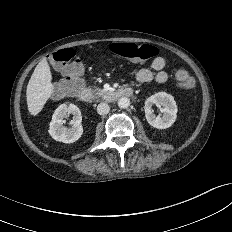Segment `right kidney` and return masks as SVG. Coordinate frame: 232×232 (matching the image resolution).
<instances>
[{
    "instance_id": "ca27d5eb",
    "label": "right kidney",
    "mask_w": 232,
    "mask_h": 232,
    "mask_svg": "<svg viewBox=\"0 0 232 232\" xmlns=\"http://www.w3.org/2000/svg\"><path fill=\"white\" fill-rule=\"evenodd\" d=\"M73 114L74 125L71 128L63 126L64 118ZM82 115L79 108L74 104H61L54 112L49 125V134L56 141L63 143H73L83 134L81 125Z\"/></svg>"
}]
</instances>
